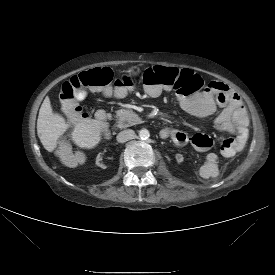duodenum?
Here are the masks:
<instances>
[{
  "instance_id": "obj_1",
  "label": "duodenum",
  "mask_w": 275,
  "mask_h": 275,
  "mask_svg": "<svg viewBox=\"0 0 275 275\" xmlns=\"http://www.w3.org/2000/svg\"><path fill=\"white\" fill-rule=\"evenodd\" d=\"M69 115L72 116L73 114L69 113ZM96 117L98 120H101V121L109 119V116L107 115V113L104 110L97 111ZM160 133L166 135L167 130L162 129Z\"/></svg>"
}]
</instances>
